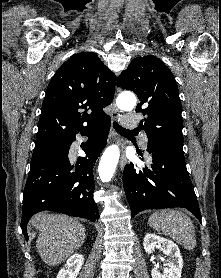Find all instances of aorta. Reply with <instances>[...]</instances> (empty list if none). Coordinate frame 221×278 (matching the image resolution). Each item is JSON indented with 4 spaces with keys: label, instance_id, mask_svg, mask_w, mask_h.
Here are the masks:
<instances>
[{
    "label": "aorta",
    "instance_id": "1",
    "mask_svg": "<svg viewBox=\"0 0 221 278\" xmlns=\"http://www.w3.org/2000/svg\"><path fill=\"white\" fill-rule=\"evenodd\" d=\"M117 105L124 110L133 109L136 105V97L133 94L121 96L117 99ZM119 156L120 150L117 145H111L104 151L98 167L99 177L103 182L112 179Z\"/></svg>",
    "mask_w": 221,
    "mask_h": 278
}]
</instances>
